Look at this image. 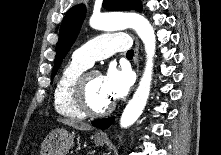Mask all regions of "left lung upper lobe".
Listing matches in <instances>:
<instances>
[{"label":"left lung upper lobe","mask_w":221,"mask_h":155,"mask_svg":"<svg viewBox=\"0 0 221 155\" xmlns=\"http://www.w3.org/2000/svg\"><path fill=\"white\" fill-rule=\"evenodd\" d=\"M103 7L108 10H141L140 0H104ZM86 15V7L79 4L68 10L60 27L59 40L56 45L55 64L51 79L54 78L62 60L75 42Z\"/></svg>","instance_id":"left-lung-upper-lobe-1"}]
</instances>
